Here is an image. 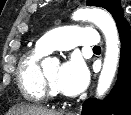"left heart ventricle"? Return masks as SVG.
<instances>
[{
    "label": "left heart ventricle",
    "instance_id": "obj_1",
    "mask_svg": "<svg viewBox=\"0 0 131 115\" xmlns=\"http://www.w3.org/2000/svg\"><path fill=\"white\" fill-rule=\"evenodd\" d=\"M59 71L58 66L51 67L50 69L45 71V75L48 78L50 85L55 87L56 77Z\"/></svg>",
    "mask_w": 131,
    "mask_h": 115
}]
</instances>
